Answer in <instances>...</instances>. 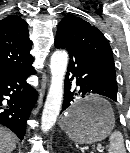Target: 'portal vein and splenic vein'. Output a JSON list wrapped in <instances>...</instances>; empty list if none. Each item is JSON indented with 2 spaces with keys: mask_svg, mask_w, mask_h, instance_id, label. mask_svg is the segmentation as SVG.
<instances>
[{
  "mask_svg": "<svg viewBox=\"0 0 130 153\" xmlns=\"http://www.w3.org/2000/svg\"><path fill=\"white\" fill-rule=\"evenodd\" d=\"M98 148L102 151L104 149V147H102V145H98Z\"/></svg>",
  "mask_w": 130,
  "mask_h": 153,
  "instance_id": "obj_1",
  "label": "portal vein and splenic vein"
}]
</instances>
